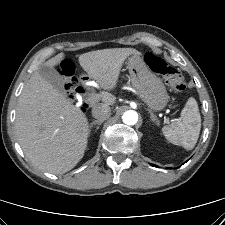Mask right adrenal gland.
<instances>
[{
  "label": "right adrenal gland",
  "mask_w": 225,
  "mask_h": 225,
  "mask_svg": "<svg viewBox=\"0 0 225 225\" xmlns=\"http://www.w3.org/2000/svg\"><path fill=\"white\" fill-rule=\"evenodd\" d=\"M102 123H103V120H95V121H93V122L89 125L88 132H89V133L91 132V128H92L94 125H101Z\"/></svg>",
  "instance_id": "2a0ac1e0"
}]
</instances>
